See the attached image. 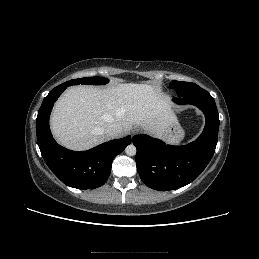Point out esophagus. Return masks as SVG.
I'll list each match as a JSON object with an SVG mask.
<instances>
[{
	"label": "esophagus",
	"mask_w": 259,
	"mask_h": 259,
	"mask_svg": "<svg viewBox=\"0 0 259 259\" xmlns=\"http://www.w3.org/2000/svg\"><path fill=\"white\" fill-rule=\"evenodd\" d=\"M139 131H140L139 128H134V129L132 130V134H133V135H136V134L139 133Z\"/></svg>",
	"instance_id": "34e87169"
}]
</instances>
